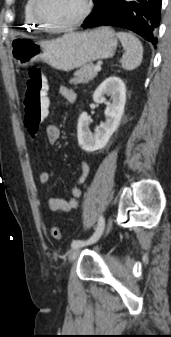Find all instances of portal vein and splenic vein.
I'll return each instance as SVG.
<instances>
[{
	"label": "portal vein and splenic vein",
	"instance_id": "1",
	"mask_svg": "<svg viewBox=\"0 0 171 337\" xmlns=\"http://www.w3.org/2000/svg\"><path fill=\"white\" fill-rule=\"evenodd\" d=\"M94 70L99 72V71H101V67L99 65H97V66L94 67Z\"/></svg>",
	"mask_w": 171,
	"mask_h": 337
}]
</instances>
